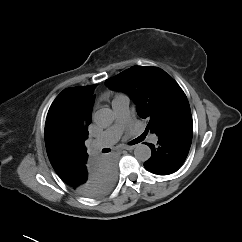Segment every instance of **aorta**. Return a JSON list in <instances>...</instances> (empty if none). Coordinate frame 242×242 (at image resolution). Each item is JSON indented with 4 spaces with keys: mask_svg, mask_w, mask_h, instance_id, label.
Wrapping results in <instances>:
<instances>
[{
    "mask_svg": "<svg viewBox=\"0 0 242 242\" xmlns=\"http://www.w3.org/2000/svg\"><path fill=\"white\" fill-rule=\"evenodd\" d=\"M114 118V112L110 108H101L94 114L96 124L103 128L109 127ZM134 155L139 161H147L151 157V149L148 145L139 143L134 148Z\"/></svg>",
    "mask_w": 242,
    "mask_h": 242,
    "instance_id": "762f6f07",
    "label": "aorta"
}]
</instances>
